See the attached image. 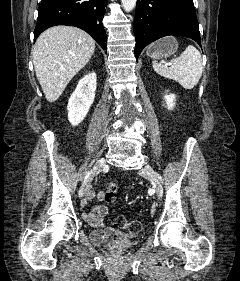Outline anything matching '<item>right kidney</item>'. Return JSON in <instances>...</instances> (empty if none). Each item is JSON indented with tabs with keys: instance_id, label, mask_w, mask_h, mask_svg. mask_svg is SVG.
<instances>
[{
	"instance_id": "1",
	"label": "right kidney",
	"mask_w": 240,
	"mask_h": 281,
	"mask_svg": "<svg viewBox=\"0 0 240 281\" xmlns=\"http://www.w3.org/2000/svg\"><path fill=\"white\" fill-rule=\"evenodd\" d=\"M96 85L94 72L87 74L78 82L67 105L68 120L73 126L80 124L89 112L95 99Z\"/></svg>"
}]
</instances>
